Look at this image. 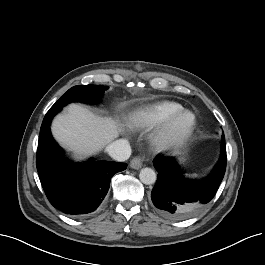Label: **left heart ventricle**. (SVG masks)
Wrapping results in <instances>:
<instances>
[{
	"label": "left heart ventricle",
	"instance_id": "obj_1",
	"mask_svg": "<svg viewBox=\"0 0 265 265\" xmlns=\"http://www.w3.org/2000/svg\"><path fill=\"white\" fill-rule=\"evenodd\" d=\"M190 122H191V116H189V115L184 116V117L181 119V121H180L181 125L184 126V127L187 126V125H189Z\"/></svg>",
	"mask_w": 265,
	"mask_h": 265
}]
</instances>
